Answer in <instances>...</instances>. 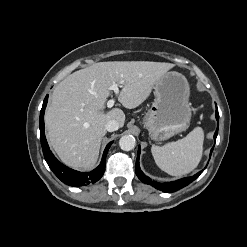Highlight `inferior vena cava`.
<instances>
[{
	"instance_id": "602c4592",
	"label": "inferior vena cava",
	"mask_w": 247,
	"mask_h": 247,
	"mask_svg": "<svg viewBox=\"0 0 247 247\" xmlns=\"http://www.w3.org/2000/svg\"><path fill=\"white\" fill-rule=\"evenodd\" d=\"M120 127V124L117 120H110L106 123L105 128L108 132H113L118 130Z\"/></svg>"
}]
</instances>
